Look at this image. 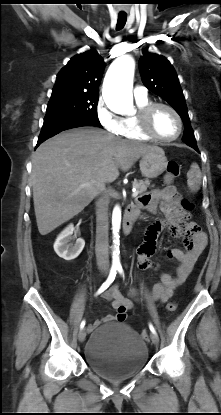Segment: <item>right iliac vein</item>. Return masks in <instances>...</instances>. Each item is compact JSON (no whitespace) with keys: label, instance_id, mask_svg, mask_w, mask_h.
Instances as JSON below:
<instances>
[{"label":"right iliac vein","instance_id":"obj_1","mask_svg":"<svg viewBox=\"0 0 221 415\" xmlns=\"http://www.w3.org/2000/svg\"><path fill=\"white\" fill-rule=\"evenodd\" d=\"M86 338V329H81L78 334V339L80 342H83Z\"/></svg>","mask_w":221,"mask_h":415}]
</instances>
